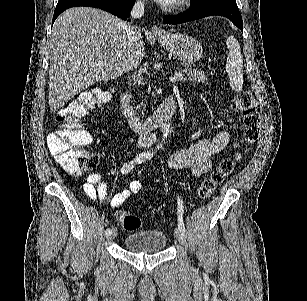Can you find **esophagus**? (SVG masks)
<instances>
[{
	"mask_svg": "<svg viewBox=\"0 0 307 301\" xmlns=\"http://www.w3.org/2000/svg\"><path fill=\"white\" fill-rule=\"evenodd\" d=\"M151 33L153 36L155 37H160L163 35L164 33V30L160 27H158L157 25H154L152 28H151Z\"/></svg>",
	"mask_w": 307,
	"mask_h": 301,
	"instance_id": "1",
	"label": "esophagus"
}]
</instances>
